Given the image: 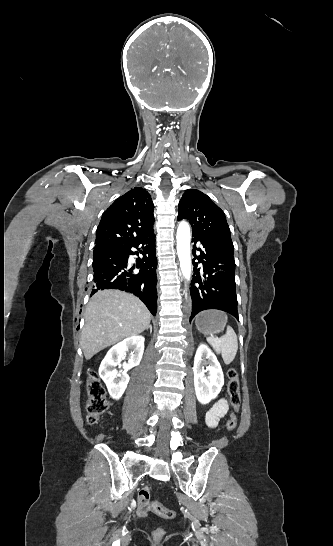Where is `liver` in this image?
Segmentation results:
<instances>
[{"label": "liver", "instance_id": "6515ba94", "mask_svg": "<svg viewBox=\"0 0 333 546\" xmlns=\"http://www.w3.org/2000/svg\"><path fill=\"white\" fill-rule=\"evenodd\" d=\"M150 320V312L137 297L118 290L98 291L85 310L80 343L86 360L127 337L139 335Z\"/></svg>", "mask_w": 333, "mask_h": 546}]
</instances>
